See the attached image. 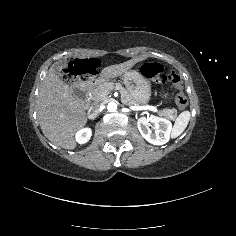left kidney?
Returning <instances> with one entry per match:
<instances>
[{"mask_svg":"<svg viewBox=\"0 0 236 236\" xmlns=\"http://www.w3.org/2000/svg\"><path fill=\"white\" fill-rule=\"evenodd\" d=\"M149 122L153 125L154 132L149 129ZM137 127L142 137L153 145H163L169 141L172 124L169 120L154 115L141 117Z\"/></svg>","mask_w":236,"mask_h":236,"instance_id":"left-kidney-1","label":"left kidney"}]
</instances>
